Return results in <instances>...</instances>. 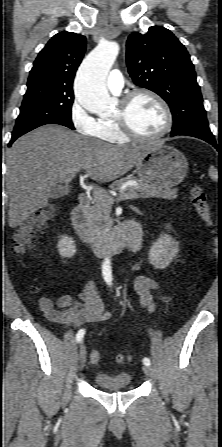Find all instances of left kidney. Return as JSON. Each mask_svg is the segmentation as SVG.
Returning a JSON list of instances; mask_svg holds the SVG:
<instances>
[{"instance_id":"5707ae66","label":"left kidney","mask_w":222,"mask_h":447,"mask_svg":"<svg viewBox=\"0 0 222 447\" xmlns=\"http://www.w3.org/2000/svg\"><path fill=\"white\" fill-rule=\"evenodd\" d=\"M179 245L167 234H162L149 250L148 258L155 269H164L176 258Z\"/></svg>"}]
</instances>
